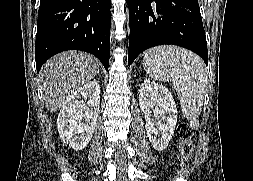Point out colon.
Returning a JSON list of instances; mask_svg holds the SVG:
<instances>
[{
    "instance_id": "5ec220e1",
    "label": "colon",
    "mask_w": 253,
    "mask_h": 181,
    "mask_svg": "<svg viewBox=\"0 0 253 181\" xmlns=\"http://www.w3.org/2000/svg\"><path fill=\"white\" fill-rule=\"evenodd\" d=\"M177 136L180 138V152L184 160H188L193 152V143L191 140L192 130L187 124H180L177 127Z\"/></svg>"
}]
</instances>
